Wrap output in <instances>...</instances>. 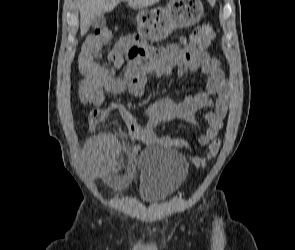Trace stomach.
<instances>
[{
	"instance_id": "obj_1",
	"label": "stomach",
	"mask_w": 295,
	"mask_h": 250,
	"mask_svg": "<svg viewBox=\"0 0 295 250\" xmlns=\"http://www.w3.org/2000/svg\"><path fill=\"white\" fill-rule=\"evenodd\" d=\"M204 15L200 0H170L166 7L141 9L136 22L145 40L160 41L174 29L198 23Z\"/></svg>"
}]
</instances>
